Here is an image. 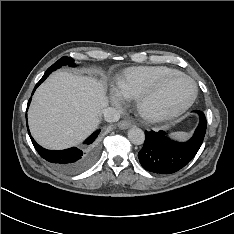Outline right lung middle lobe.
Here are the masks:
<instances>
[{
  "label": "right lung middle lobe",
  "mask_w": 234,
  "mask_h": 234,
  "mask_svg": "<svg viewBox=\"0 0 234 234\" xmlns=\"http://www.w3.org/2000/svg\"><path fill=\"white\" fill-rule=\"evenodd\" d=\"M65 65H68V66H71V67H75L76 66V64L74 63V60L72 58L64 56V57H61L51 67H49L46 72H50L51 73L52 71L60 68L61 66H65Z\"/></svg>",
  "instance_id": "obj_1"
}]
</instances>
